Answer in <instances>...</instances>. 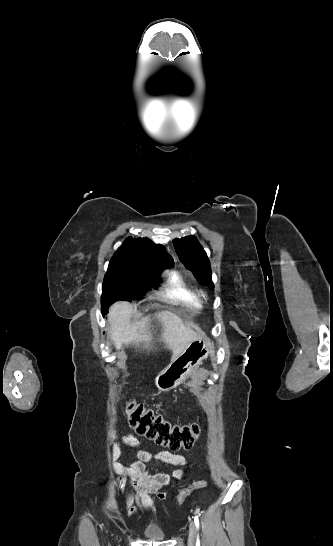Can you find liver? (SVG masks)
Here are the masks:
<instances>
[{"mask_svg":"<svg viewBox=\"0 0 333 546\" xmlns=\"http://www.w3.org/2000/svg\"><path fill=\"white\" fill-rule=\"evenodd\" d=\"M133 314L134 305L126 301L116 302L109 310L107 316L110 323L109 336L115 343L116 349H121L123 345H132L150 351L157 341V338L153 336L157 333L153 322L161 326L158 341L163 342L172 351V360L180 355L191 342L199 339V334L191 326L186 325L179 316L170 311L157 312L153 316L149 315L135 323H130Z\"/></svg>","mask_w":333,"mask_h":546,"instance_id":"liver-1","label":"liver"}]
</instances>
